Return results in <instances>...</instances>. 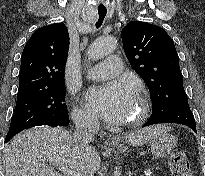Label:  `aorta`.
Here are the masks:
<instances>
[{
	"label": "aorta",
	"mask_w": 205,
	"mask_h": 176,
	"mask_svg": "<svg viewBox=\"0 0 205 176\" xmlns=\"http://www.w3.org/2000/svg\"><path fill=\"white\" fill-rule=\"evenodd\" d=\"M116 45L117 41L113 37L99 38L89 47L88 55L93 60H99L112 53Z\"/></svg>",
	"instance_id": "aorta-1"
}]
</instances>
